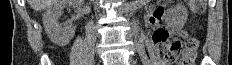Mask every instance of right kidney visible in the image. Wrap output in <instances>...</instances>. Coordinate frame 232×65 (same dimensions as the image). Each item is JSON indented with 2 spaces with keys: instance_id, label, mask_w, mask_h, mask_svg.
<instances>
[{
  "instance_id": "1",
  "label": "right kidney",
  "mask_w": 232,
  "mask_h": 65,
  "mask_svg": "<svg viewBox=\"0 0 232 65\" xmlns=\"http://www.w3.org/2000/svg\"><path fill=\"white\" fill-rule=\"evenodd\" d=\"M75 0H55L43 14V25L49 39L58 46L67 45L75 34V27L72 24L62 26L58 19L63 9L69 5H75Z\"/></svg>"
}]
</instances>
